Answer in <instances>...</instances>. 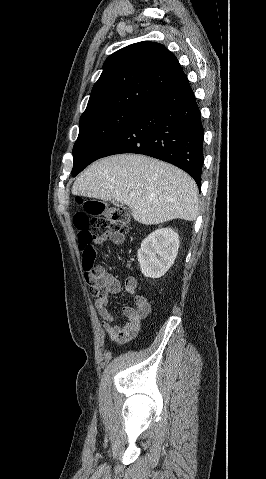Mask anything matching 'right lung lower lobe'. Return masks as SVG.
<instances>
[{
  "label": "right lung lower lobe",
  "mask_w": 266,
  "mask_h": 479,
  "mask_svg": "<svg viewBox=\"0 0 266 479\" xmlns=\"http://www.w3.org/2000/svg\"><path fill=\"white\" fill-rule=\"evenodd\" d=\"M204 130L189 82L155 98L111 141L99 158L137 153L169 162L201 186Z\"/></svg>",
  "instance_id": "1"
}]
</instances>
